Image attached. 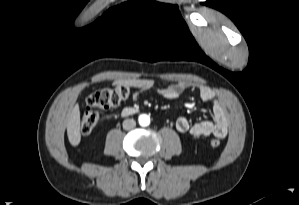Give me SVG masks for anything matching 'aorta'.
<instances>
[{
    "instance_id": "1",
    "label": "aorta",
    "mask_w": 299,
    "mask_h": 205,
    "mask_svg": "<svg viewBox=\"0 0 299 205\" xmlns=\"http://www.w3.org/2000/svg\"><path fill=\"white\" fill-rule=\"evenodd\" d=\"M141 126H148L150 124V117L146 114H142L138 118Z\"/></svg>"
}]
</instances>
